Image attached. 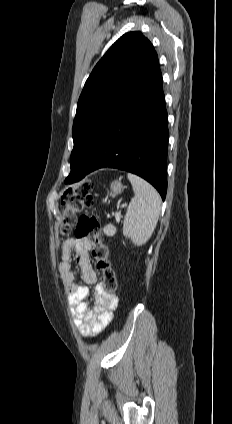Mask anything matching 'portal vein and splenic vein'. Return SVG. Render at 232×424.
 <instances>
[{
    "instance_id": "18ae733b",
    "label": "portal vein and splenic vein",
    "mask_w": 232,
    "mask_h": 424,
    "mask_svg": "<svg viewBox=\"0 0 232 424\" xmlns=\"http://www.w3.org/2000/svg\"><path fill=\"white\" fill-rule=\"evenodd\" d=\"M116 218L119 219V215L118 214H116Z\"/></svg>"
}]
</instances>
